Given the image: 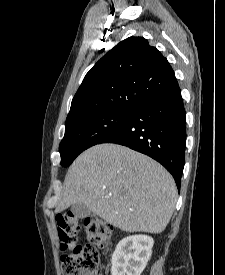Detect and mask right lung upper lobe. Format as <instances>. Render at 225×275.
I'll list each match as a JSON object with an SVG mask.
<instances>
[{"mask_svg": "<svg viewBox=\"0 0 225 275\" xmlns=\"http://www.w3.org/2000/svg\"><path fill=\"white\" fill-rule=\"evenodd\" d=\"M178 87L167 59L143 37H129L86 74L72 100L66 124L102 112L132 111L144 101Z\"/></svg>", "mask_w": 225, "mask_h": 275, "instance_id": "obj_1", "label": "right lung upper lobe"}]
</instances>
